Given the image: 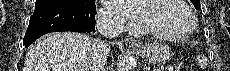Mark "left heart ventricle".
I'll use <instances>...</instances> for the list:
<instances>
[{
  "mask_svg": "<svg viewBox=\"0 0 230 71\" xmlns=\"http://www.w3.org/2000/svg\"><path fill=\"white\" fill-rule=\"evenodd\" d=\"M140 4L144 21L157 31L179 34L191 26L188 13L174 0H150Z\"/></svg>",
  "mask_w": 230,
  "mask_h": 71,
  "instance_id": "b2bd125f",
  "label": "left heart ventricle"
}]
</instances>
